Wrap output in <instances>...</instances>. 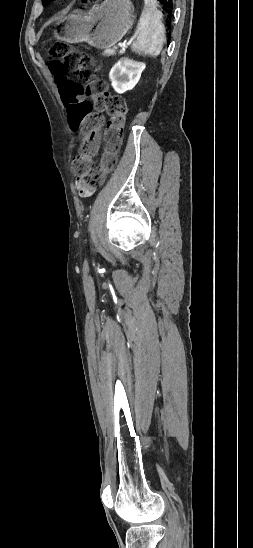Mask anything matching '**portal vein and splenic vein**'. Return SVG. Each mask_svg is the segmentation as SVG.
Instances as JSON below:
<instances>
[{
    "instance_id": "18ae733b",
    "label": "portal vein and splenic vein",
    "mask_w": 253,
    "mask_h": 548,
    "mask_svg": "<svg viewBox=\"0 0 253 548\" xmlns=\"http://www.w3.org/2000/svg\"><path fill=\"white\" fill-rule=\"evenodd\" d=\"M135 38H136V35H134V36L130 39V42H132ZM127 45H128V44H123V45L121 46V49H120L119 52H120V53H123V52L125 51Z\"/></svg>"
}]
</instances>
